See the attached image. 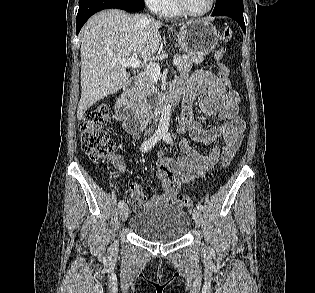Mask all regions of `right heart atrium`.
<instances>
[{"label": "right heart atrium", "mask_w": 315, "mask_h": 293, "mask_svg": "<svg viewBox=\"0 0 315 293\" xmlns=\"http://www.w3.org/2000/svg\"><path fill=\"white\" fill-rule=\"evenodd\" d=\"M146 5L154 12H160L165 0H144Z\"/></svg>", "instance_id": "1"}]
</instances>
